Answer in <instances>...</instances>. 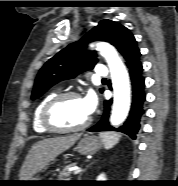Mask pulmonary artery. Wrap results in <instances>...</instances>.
<instances>
[{"label":"pulmonary artery","mask_w":178,"mask_h":186,"mask_svg":"<svg viewBox=\"0 0 178 186\" xmlns=\"http://www.w3.org/2000/svg\"><path fill=\"white\" fill-rule=\"evenodd\" d=\"M107 74H108V70L105 65H103V64L96 65V67H95V75L96 76L105 77V76H107Z\"/></svg>","instance_id":"pulmonary-artery-1"}]
</instances>
